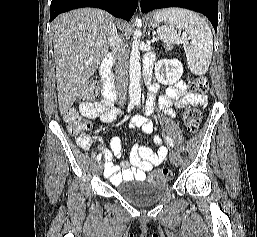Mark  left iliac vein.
Instances as JSON below:
<instances>
[{
	"label": "left iliac vein",
	"instance_id": "1",
	"mask_svg": "<svg viewBox=\"0 0 257 237\" xmlns=\"http://www.w3.org/2000/svg\"><path fill=\"white\" fill-rule=\"evenodd\" d=\"M170 157H171V161L175 165H178L180 163V156L176 151H172Z\"/></svg>",
	"mask_w": 257,
	"mask_h": 237
}]
</instances>
